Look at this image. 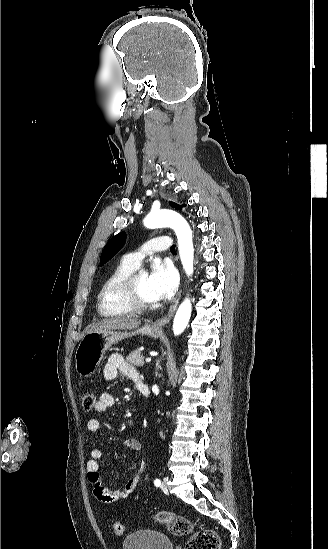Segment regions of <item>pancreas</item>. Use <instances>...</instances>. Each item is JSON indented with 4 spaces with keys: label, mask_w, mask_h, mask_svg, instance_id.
<instances>
[{
    "label": "pancreas",
    "mask_w": 328,
    "mask_h": 549,
    "mask_svg": "<svg viewBox=\"0 0 328 549\" xmlns=\"http://www.w3.org/2000/svg\"><path fill=\"white\" fill-rule=\"evenodd\" d=\"M128 363H131V365H135V367H143L145 365L144 363V357L141 355V351H132L130 353L129 357H126Z\"/></svg>",
    "instance_id": "obj_1"
}]
</instances>
